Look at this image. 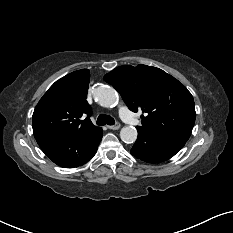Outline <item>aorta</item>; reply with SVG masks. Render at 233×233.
Segmentation results:
<instances>
[{"label":"aorta","instance_id":"aorta-1","mask_svg":"<svg viewBox=\"0 0 233 233\" xmlns=\"http://www.w3.org/2000/svg\"><path fill=\"white\" fill-rule=\"evenodd\" d=\"M94 96L103 107L114 105L118 99L116 90L110 86H99L94 90ZM120 138L124 143H134L137 139V130L133 126H125L120 131Z\"/></svg>","mask_w":233,"mask_h":233}]
</instances>
